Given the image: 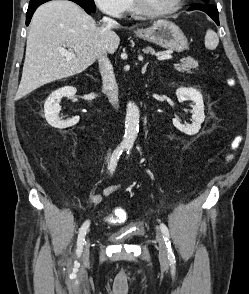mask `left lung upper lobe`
<instances>
[{
  "mask_svg": "<svg viewBox=\"0 0 249 294\" xmlns=\"http://www.w3.org/2000/svg\"><path fill=\"white\" fill-rule=\"evenodd\" d=\"M204 3L208 4L210 0H202Z\"/></svg>",
  "mask_w": 249,
  "mask_h": 294,
  "instance_id": "5c2ea615",
  "label": "left lung upper lobe"
}]
</instances>
